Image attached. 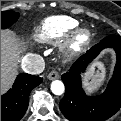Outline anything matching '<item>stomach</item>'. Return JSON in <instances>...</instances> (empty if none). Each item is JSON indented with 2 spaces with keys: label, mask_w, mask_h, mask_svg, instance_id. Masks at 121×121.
<instances>
[{
  "label": "stomach",
  "mask_w": 121,
  "mask_h": 121,
  "mask_svg": "<svg viewBox=\"0 0 121 121\" xmlns=\"http://www.w3.org/2000/svg\"><path fill=\"white\" fill-rule=\"evenodd\" d=\"M106 70L102 62H95L84 76V83L88 91L97 90L105 78Z\"/></svg>",
  "instance_id": "0dacf381"
}]
</instances>
